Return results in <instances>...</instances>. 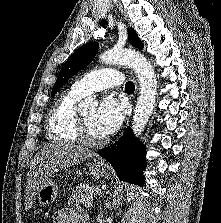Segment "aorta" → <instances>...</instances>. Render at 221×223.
Instances as JSON below:
<instances>
[{
	"label": "aorta",
	"instance_id": "aorta-1",
	"mask_svg": "<svg viewBox=\"0 0 221 223\" xmlns=\"http://www.w3.org/2000/svg\"><path fill=\"white\" fill-rule=\"evenodd\" d=\"M105 64H122L131 67L140 82V95L138 97L132 129L136 136H139L145 129L155 104L157 91V79L152 65L140 53L133 50L111 49L100 56ZM98 101L94 98H87L79 104L82 110H94Z\"/></svg>",
	"mask_w": 221,
	"mask_h": 223
}]
</instances>
